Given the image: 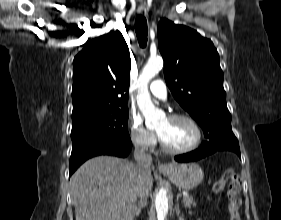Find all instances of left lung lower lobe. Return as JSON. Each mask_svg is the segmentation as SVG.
Returning a JSON list of instances; mask_svg holds the SVG:
<instances>
[{"mask_svg":"<svg viewBox=\"0 0 281 220\" xmlns=\"http://www.w3.org/2000/svg\"><path fill=\"white\" fill-rule=\"evenodd\" d=\"M233 151L240 157V149L238 143H230V144H212L209 142H205L202 144V146L190 153L179 155L175 157V160L178 162H190V161H196L201 158H204L216 151Z\"/></svg>","mask_w":281,"mask_h":220,"instance_id":"0a47b994","label":"left lung lower lobe"}]
</instances>
